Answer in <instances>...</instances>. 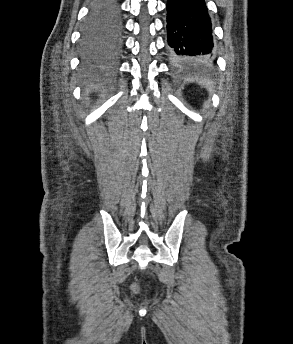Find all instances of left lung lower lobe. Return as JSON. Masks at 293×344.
I'll use <instances>...</instances> for the list:
<instances>
[{"instance_id": "1", "label": "left lung lower lobe", "mask_w": 293, "mask_h": 344, "mask_svg": "<svg viewBox=\"0 0 293 344\" xmlns=\"http://www.w3.org/2000/svg\"><path fill=\"white\" fill-rule=\"evenodd\" d=\"M167 41L174 62L212 59L211 20L204 0H168Z\"/></svg>"}]
</instances>
